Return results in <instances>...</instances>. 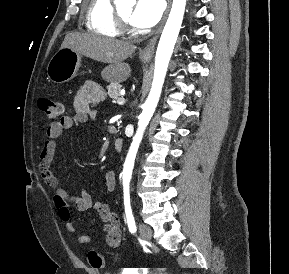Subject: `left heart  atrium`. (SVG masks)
<instances>
[{"instance_id": "left-heart-atrium-1", "label": "left heart atrium", "mask_w": 289, "mask_h": 274, "mask_svg": "<svg viewBox=\"0 0 289 274\" xmlns=\"http://www.w3.org/2000/svg\"><path fill=\"white\" fill-rule=\"evenodd\" d=\"M163 12V0H138L130 16V22L140 28L155 25Z\"/></svg>"}]
</instances>
